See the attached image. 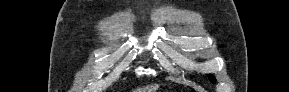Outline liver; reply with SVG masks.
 Here are the masks:
<instances>
[{
  "instance_id": "6515ba94",
  "label": "liver",
  "mask_w": 289,
  "mask_h": 92,
  "mask_svg": "<svg viewBox=\"0 0 289 92\" xmlns=\"http://www.w3.org/2000/svg\"><path fill=\"white\" fill-rule=\"evenodd\" d=\"M159 85L158 84H155V85H150V86H147L146 88L144 89H141L143 91L141 92H155L157 89H158Z\"/></svg>"
}]
</instances>
